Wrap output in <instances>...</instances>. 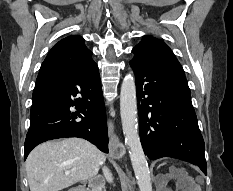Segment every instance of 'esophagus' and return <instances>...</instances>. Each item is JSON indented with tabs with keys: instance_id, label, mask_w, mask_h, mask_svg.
I'll return each mask as SVG.
<instances>
[{
	"instance_id": "34e87169",
	"label": "esophagus",
	"mask_w": 233,
	"mask_h": 191,
	"mask_svg": "<svg viewBox=\"0 0 233 191\" xmlns=\"http://www.w3.org/2000/svg\"><path fill=\"white\" fill-rule=\"evenodd\" d=\"M108 132H109V150L111 151V156H121L125 148L122 143L119 142L118 136L115 133L114 123L111 119L108 120Z\"/></svg>"
}]
</instances>
